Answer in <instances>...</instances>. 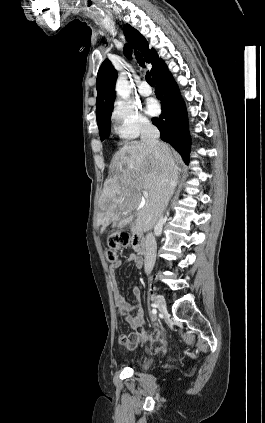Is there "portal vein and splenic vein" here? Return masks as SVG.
<instances>
[{"label":"portal vein and splenic vein","mask_w":265,"mask_h":423,"mask_svg":"<svg viewBox=\"0 0 265 423\" xmlns=\"http://www.w3.org/2000/svg\"><path fill=\"white\" fill-rule=\"evenodd\" d=\"M147 197H148V193L146 191H144L143 194H142V198L144 199V198H147Z\"/></svg>","instance_id":"18ae733b"}]
</instances>
